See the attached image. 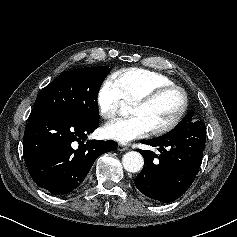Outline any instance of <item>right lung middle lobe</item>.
Here are the masks:
<instances>
[{"instance_id":"dd1d6c3e","label":"right lung middle lobe","mask_w":237,"mask_h":237,"mask_svg":"<svg viewBox=\"0 0 237 237\" xmlns=\"http://www.w3.org/2000/svg\"><path fill=\"white\" fill-rule=\"evenodd\" d=\"M109 72L107 66L64 72L42 90L34 108L59 112L80 121L98 120L97 95Z\"/></svg>"}]
</instances>
